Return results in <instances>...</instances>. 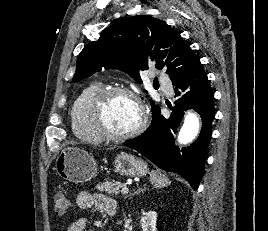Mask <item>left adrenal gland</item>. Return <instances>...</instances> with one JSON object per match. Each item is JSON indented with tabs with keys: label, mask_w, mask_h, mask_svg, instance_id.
I'll return each mask as SVG.
<instances>
[{
	"label": "left adrenal gland",
	"mask_w": 268,
	"mask_h": 231,
	"mask_svg": "<svg viewBox=\"0 0 268 231\" xmlns=\"http://www.w3.org/2000/svg\"><path fill=\"white\" fill-rule=\"evenodd\" d=\"M144 190H146V188H144V189L138 188V190L136 192H134L133 194H131L130 196L135 195V194H139L140 192H143Z\"/></svg>",
	"instance_id": "obj_1"
}]
</instances>
